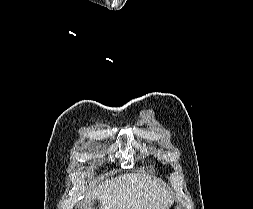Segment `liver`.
<instances>
[{
    "label": "liver",
    "mask_w": 253,
    "mask_h": 209,
    "mask_svg": "<svg viewBox=\"0 0 253 209\" xmlns=\"http://www.w3.org/2000/svg\"><path fill=\"white\" fill-rule=\"evenodd\" d=\"M98 198L101 209H167L173 204L171 192L158 178L145 174H125L106 181L86 195Z\"/></svg>",
    "instance_id": "1"
}]
</instances>
